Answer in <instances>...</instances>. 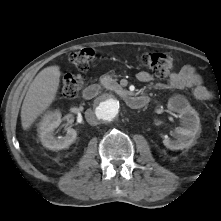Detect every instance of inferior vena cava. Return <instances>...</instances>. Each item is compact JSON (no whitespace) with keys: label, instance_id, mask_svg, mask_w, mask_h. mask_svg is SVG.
<instances>
[{"label":"inferior vena cava","instance_id":"602c4592","mask_svg":"<svg viewBox=\"0 0 221 221\" xmlns=\"http://www.w3.org/2000/svg\"><path fill=\"white\" fill-rule=\"evenodd\" d=\"M85 117H86V120L87 122L90 124V125H97L98 124V121H97V118L94 114V112L90 109H88L86 112H85Z\"/></svg>","mask_w":221,"mask_h":221}]
</instances>
